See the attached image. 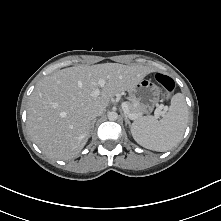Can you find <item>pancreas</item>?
Wrapping results in <instances>:
<instances>
[{"label": "pancreas", "instance_id": "obj_1", "mask_svg": "<svg viewBox=\"0 0 221 221\" xmlns=\"http://www.w3.org/2000/svg\"><path fill=\"white\" fill-rule=\"evenodd\" d=\"M127 105L130 113H134L138 116H140L143 113L139 106V103L136 102L135 100L131 99V102L127 103Z\"/></svg>", "mask_w": 221, "mask_h": 221}]
</instances>
